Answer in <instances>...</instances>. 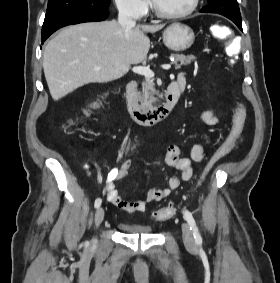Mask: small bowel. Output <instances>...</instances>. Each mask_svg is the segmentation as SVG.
Here are the masks:
<instances>
[{
	"mask_svg": "<svg viewBox=\"0 0 280 283\" xmlns=\"http://www.w3.org/2000/svg\"><path fill=\"white\" fill-rule=\"evenodd\" d=\"M178 84L182 88L185 84L183 75H180L177 80ZM202 121L207 125H214L217 123V118L211 112L206 111L202 114ZM243 126L239 132H236V124L233 122L232 130L225 140V142L219 147L228 145L227 152L233 149L241 141ZM218 149V150H219ZM226 152V153H227ZM206 159L205 146L203 144H196L192 147L189 156H183L181 149L177 145H170L167 147L165 160L166 163L180 171L179 176H172L169 179L168 187L163 189H151L148 191L145 200H124L118 193L116 188V182L123 179L132 167V162L129 159L124 160L117 168L112 169L104 183V192L107 200L116 206L118 209L128 213H140L145 212L149 203L158 202L166 198L173 190L177 189L181 181H190L193 177V164L196 162H202ZM89 163H85L84 167L89 168Z\"/></svg>",
	"mask_w": 280,
	"mask_h": 283,
	"instance_id": "1",
	"label": "small bowel"
}]
</instances>
